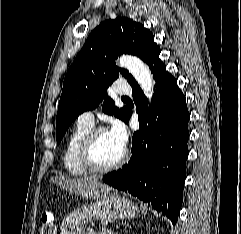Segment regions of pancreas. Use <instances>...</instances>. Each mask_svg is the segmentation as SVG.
Listing matches in <instances>:
<instances>
[{
  "label": "pancreas",
  "instance_id": "cf45deb5",
  "mask_svg": "<svg viewBox=\"0 0 241 234\" xmlns=\"http://www.w3.org/2000/svg\"><path fill=\"white\" fill-rule=\"evenodd\" d=\"M105 230V229H104ZM103 230V231H104ZM87 234H96V233H94L93 231H89ZM99 234H107V233H104V232H101V233H99Z\"/></svg>",
  "mask_w": 241,
  "mask_h": 234
}]
</instances>
